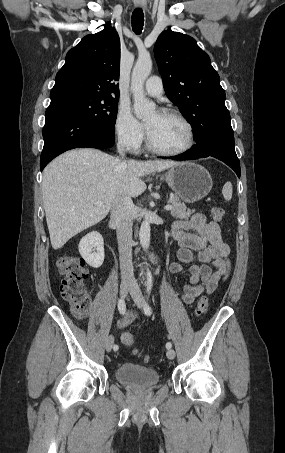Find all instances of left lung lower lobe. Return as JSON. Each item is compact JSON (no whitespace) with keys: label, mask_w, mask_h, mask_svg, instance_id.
<instances>
[{"label":"left lung lower lobe","mask_w":285,"mask_h":453,"mask_svg":"<svg viewBox=\"0 0 285 453\" xmlns=\"http://www.w3.org/2000/svg\"><path fill=\"white\" fill-rule=\"evenodd\" d=\"M212 156L230 166L240 177V163L234 149L233 132H213L196 141L191 150L168 157L175 160H192ZM165 158V157H163Z\"/></svg>","instance_id":"left-lung-lower-lobe-1"}]
</instances>
